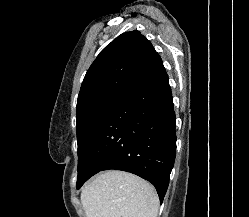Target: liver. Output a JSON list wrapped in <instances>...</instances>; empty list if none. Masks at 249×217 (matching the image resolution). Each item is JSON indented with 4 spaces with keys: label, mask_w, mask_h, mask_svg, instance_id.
I'll use <instances>...</instances> for the list:
<instances>
[{
    "label": "liver",
    "mask_w": 249,
    "mask_h": 217,
    "mask_svg": "<svg viewBox=\"0 0 249 217\" xmlns=\"http://www.w3.org/2000/svg\"><path fill=\"white\" fill-rule=\"evenodd\" d=\"M86 217H157L155 188L136 175L109 170L96 176L81 192Z\"/></svg>",
    "instance_id": "1"
}]
</instances>
